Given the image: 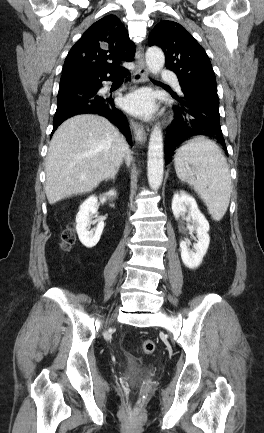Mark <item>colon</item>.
<instances>
[{
  "label": "colon",
  "instance_id": "1",
  "mask_svg": "<svg viewBox=\"0 0 264 433\" xmlns=\"http://www.w3.org/2000/svg\"><path fill=\"white\" fill-rule=\"evenodd\" d=\"M75 241V234L72 225L68 226L61 233V247L65 250L69 249ZM143 353L152 354L155 351L156 344L151 339L143 340L141 344Z\"/></svg>",
  "mask_w": 264,
  "mask_h": 433
}]
</instances>
